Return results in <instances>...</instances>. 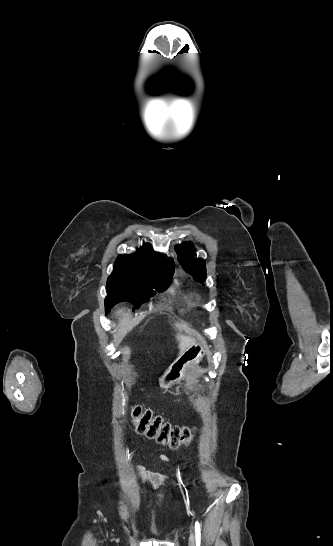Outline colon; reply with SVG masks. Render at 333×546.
I'll list each match as a JSON object with an SVG mask.
<instances>
[{
	"mask_svg": "<svg viewBox=\"0 0 333 546\" xmlns=\"http://www.w3.org/2000/svg\"><path fill=\"white\" fill-rule=\"evenodd\" d=\"M131 418L137 432L172 449L187 446L191 442L192 433L189 428L173 426L140 405L132 407Z\"/></svg>",
	"mask_w": 333,
	"mask_h": 546,
	"instance_id": "obj_1",
	"label": "colon"
}]
</instances>
